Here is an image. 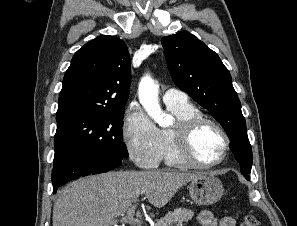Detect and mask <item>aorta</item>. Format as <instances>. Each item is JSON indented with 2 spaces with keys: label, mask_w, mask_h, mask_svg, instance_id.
<instances>
[{
  "label": "aorta",
  "mask_w": 297,
  "mask_h": 226,
  "mask_svg": "<svg viewBox=\"0 0 297 226\" xmlns=\"http://www.w3.org/2000/svg\"><path fill=\"white\" fill-rule=\"evenodd\" d=\"M138 97L147 114L159 125H164L168 116L163 113L159 103L158 85L148 74L143 76L139 83Z\"/></svg>",
  "instance_id": "obj_1"
}]
</instances>
